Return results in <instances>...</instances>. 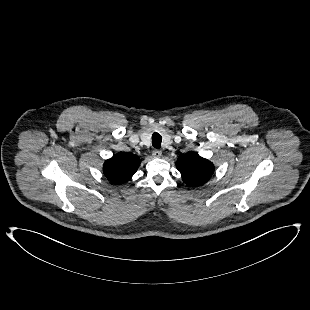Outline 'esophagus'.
Segmentation results:
<instances>
[{
    "label": "esophagus",
    "mask_w": 310,
    "mask_h": 310,
    "mask_svg": "<svg viewBox=\"0 0 310 310\" xmlns=\"http://www.w3.org/2000/svg\"><path fill=\"white\" fill-rule=\"evenodd\" d=\"M152 156H153L154 158H160V157L162 156V152H161L160 150H154V151L152 152Z\"/></svg>",
    "instance_id": "obj_1"
}]
</instances>
